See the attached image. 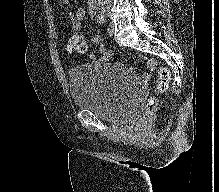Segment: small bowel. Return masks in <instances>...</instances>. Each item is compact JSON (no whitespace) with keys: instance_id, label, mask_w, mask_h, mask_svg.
I'll list each match as a JSON object with an SVG mask.
<instances>
[{"instance_id":"obj_1","label":"small bowel","mask_w":219,"mask_h":192,"mask_svg":"<svg viewBox=\"0 0 219 192\" xmlns=\"http://www.w3.org/2000/svg\"><path fill=\"white\" fill-rule=\"evenodd\" d=\"M88 12L91 16H93L96 13L95 0L88 1ZM84 17H85V10L83 8H78L77 11L75 12V14H73L71 16L70 20H71V25H72V29H73V34L69 40V43H71L73 40H75L77 38H80L85 42L84 36L82 34V20ZM92 42H93V44H95L99 48V51L101 53L100 61H102V62L109 61L111 58V53L105 47L102 37L99 35H95L92 37ZM69 43H68V45H69ZM66 50L69 52L68 46H67ZM155 66H156V62L154 60L150 59L147 61L148 71L142 75L143 80L148 81L151 78V76H152L151 71L155 68Z\"/></svg>"}]
</instances>
